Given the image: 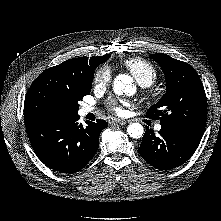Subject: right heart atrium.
<instances>
[{
	"instance_id": "obj_1",
	"label": "right heart atrium",
	"mask_w": 221,
	"mask_h": 221,
	"mask_svg": "<svg viewBox=\"0 0 221 221\" xmlns=\"http://www.w3.org/2000/svg\"><path fill=\"white\" fill-rule=\"evenodd\" d=\"M112 73L107 65L99 67L93 77V85L95 89H104L110 85Z\"/></svg>"
}]
</instances>
